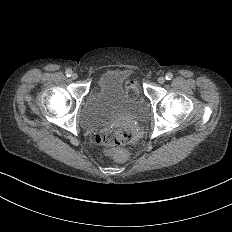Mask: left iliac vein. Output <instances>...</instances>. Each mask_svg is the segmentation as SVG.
<instances>
[{"instance_id": "left-iliac-vein-1", "label": "left iliac vein", "mask_w": 232, "mask_h": 232, "mask_svg": "<svg viewBox=\"0 0 232 232\" xmlns=\"http://www.w3.org/2000/svg\"><path fill=\"white\" fill-rule=\"evenodd\" d=\"M158 82L159 83H164L165 82V77L164 76H159L158 77Z\"/></svg>"}]
</instances>
